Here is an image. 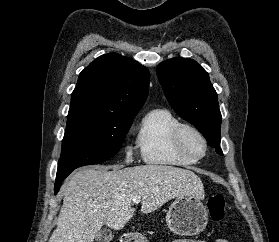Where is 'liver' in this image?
I'll use <instances>...</instances> for the list:
<instances>
[{
	"label": "liver",
	"mask_w": 279,
	"mask_h": 242,
	"mask_svg": "<svg viewBox=\"0 0 279 242\" xmlns=\"http://www.w3.org/2000/svg\"><path fill=\"white\" fill-rule=\"evenodd\" d=\"M62 191L57 228L48 242H93L103 225L122 229L134 216L135 196L142 199L144 214L173 198H204L202 181L194 172L162 165L85 167L65 180Z\"/></svg>",
	"instance_id": "1"
}]
</instances>
